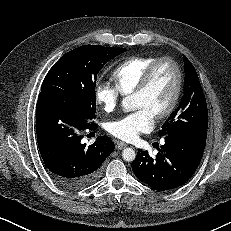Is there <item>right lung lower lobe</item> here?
Masks as SVG:
<instances>
[{
    "mask_svg": "<svg viewBox=\"0 0 231 231\" xmlns=\"http://www.w3.org/2000/svg\"><path fill=\"white\" fill-rule=\"evenodd\" d=\"M97 125L85 120L68 102L39 94L36 105V134L40 154L52 179L65 189L78 190L94 183L105 159L115 148L106 136L86 147L81 143L85 130Z\"/></svg>",
    "mask_w": 231,
    "mask_h": 231,
    "instance_id": "right-lung-lower-lobe-1",
    "label": "right lung lower lobe"
}]
</instances>
